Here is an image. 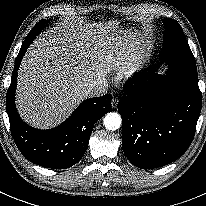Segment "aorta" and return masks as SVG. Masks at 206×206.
Returning a JSON list of instances; mask_svg holds the SVG:
<instances>
[{
	"instance_id": "aorta-1",
	"label": "aorta",
	"mask_w": 206,
	"mask_h": 206,
	"mask_svg": "<svg viewBox=\"0 0 206 206\" xmlns=\"http://www.w3.org/2000/svg\"><path fill=\"white\" fill-rule=\"evenodd\" d=\"M103 123L106 129L115 131L121 126V117L118 113L110 112L105 115Z\"/></svg>"
}]
</instances>
